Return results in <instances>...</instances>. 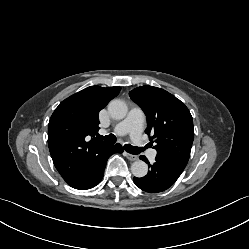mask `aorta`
Here are the masks:
<instances>
[{
	"mask_svg": "<svg viewBox=\"0 0 249 249\" xmlns=\"http://www.w3.org/2000/svg\"><path fill=\"white\" fill-rule=\"evenodd\" d=\"M108 112L113 119L120 120L127 115L128 108L124 101L115 99L109 103ZM131 172L135 177L142 178L147 175L148 166L144 161L137 160L132 163Z\"/></svg>",
	"mask_w": 249,
	"mask_h": 249,
	"instance_id": "762f6f07",
	"label": "aorta"
}]
</instances>
